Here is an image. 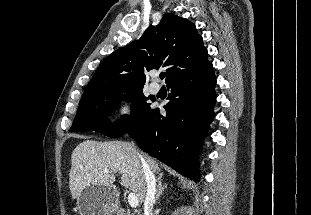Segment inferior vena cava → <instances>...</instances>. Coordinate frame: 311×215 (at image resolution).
<instances>
[{
  "label": "inferior vena cava",
  "instance_id": "inferior-vena-cava-1",
  "mask_svg": "<svg viewBox=\"0 0 311 215\" xmlns=\"http://www.w3.org/2000/svg\"><path fill=\"white\" fill-rule=\"evenodd\" d=\"M133 147L134 153L137 155V157L141 162L143 173L145 176L146 195L144 200V213L145 215H153L152 209L156 193V178L152 170L150 169L148 163L146 162L145 158L136 150L134 144Z\"/></svg>",
  "mask_w": 311,
  "mask_h": 215
}]
</instances>
